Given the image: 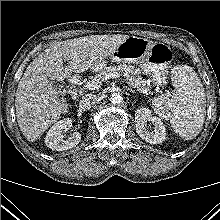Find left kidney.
Returning <instances> with one entry per match:
<instances>
[{
    "instance_id": "obj_1",
    "label": "left kidney",
    "mask_w": 220,
    "mask_h": 220,
    "mask_svg": "<svg viewBox=\"0 0 220 220\" xmlns=\"http://www.w3.org/2000/svg\"><path fill=\"white\" fill-rule=\"evenodd\" d=\"M149 108L142 107L135 111L136 132L150 144H161L166 139L165 125L160 118L154 117ZM147 122H152L154 131L147 129Z\"/></svg>"
}]
</instances>
